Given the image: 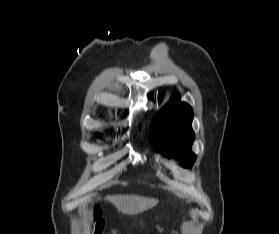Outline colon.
<instances>
[{
    "instance_id": "obj_1",
    "label": "colon",
    "mask_w": 279,
    "mask_h": 234,
    "mask_svg": "<svg viewBox=\"0 0 279 234\" xmlns=\"http://www.w3.org/2000/svg\"><path fill=\"white\" fill-rule=\"evenodd\" d=\"M91 224L92 234H116L114 231H111L107 228L105 220L101 216V213L98 209L94 210Z\"/></svg>"
}]
</instances>
